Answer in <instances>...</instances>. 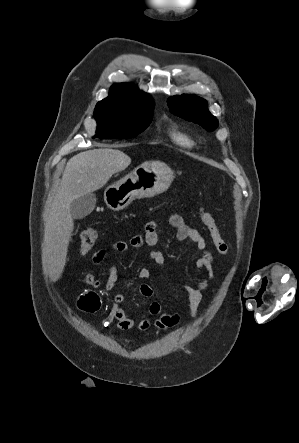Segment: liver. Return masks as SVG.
Returning a JSON list of instances; mask_svg holds the SVG:
<instances>
[{
  "mask_svg": "<svg viewBox=\"0 0 299 443\" xmlns=\"http://www.w3.org/2000/svg\"><path fill=\"white\" fill-rule=\"evenodd\" d=\"M131 158L124 152L102 146L73 156L65 167L57 193L46 214L45 262L50 280L62 275L74 222L70 205L74 199L102 188Z\"/></svg>",
  "mask_w": 299,
  "mask_h": 443,
  "instance_id": "obj_1",
  "label": "liver"
}]
</instances>
